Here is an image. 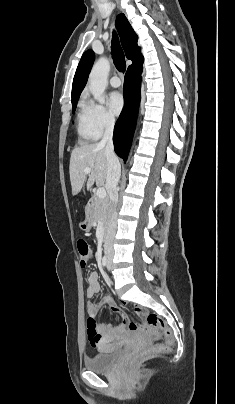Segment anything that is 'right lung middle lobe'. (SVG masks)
Returning <instances> with one entry per match:
<instances>
[{
	"instance_id": "obj_1",
	"label": "right lung middle lobe",
	"mask_w": 235,
	"mask_h": 404,
	"mask_svg": "<svg viewBox=\"0 0 235 404\" xmlns=\"http://www.w3.org/2000/svg\"><path fill=\"white\" fill-rule=\"evenodd\" d=\"M76 106H77V101L72 102V110H73V112L75 111Z\"/></svg>"
}]
</instances>
